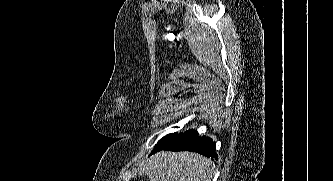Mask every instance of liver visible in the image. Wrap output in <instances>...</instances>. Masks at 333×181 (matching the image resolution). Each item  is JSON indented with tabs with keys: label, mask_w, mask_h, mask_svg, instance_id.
<instances>
[{
	"label": "liver",
	"mask_w": 333,
	"mask_h": 181,
	"mask_svg": "<svg viewBox=\"0 0 333 181\" xmlns=\"http://www.w3.org/2000/svg\"><path fill=\"white\" fill-rule=\"evenodd\" d=\"M149 181H211L215 165L195 152H159L145 164Z\"/></svg>",
	"instance_id": "1"
}]
</instances>
